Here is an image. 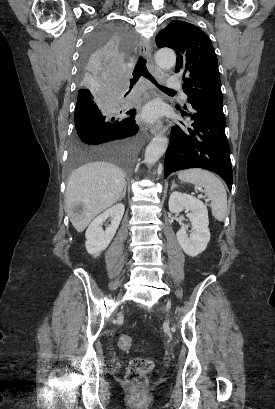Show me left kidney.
Instances as JSON below:
<instances>
[{"label":"left kidney","instance_id":"1","mask_svg":"<svg viewBox=\"0 0 275 409\" xmlns=\"http://www.w3.org/2000/svg\"><path fill=\"white\" fill-rule=\"evenodd\" d=\"M183 209L191 211L189 217H191L190 221L194 231L188 237L185 227H181L176 235L177 241L186 255L197 257L199 253L205 251L210 241L208 211L204 202L196 196L175 190L170 194L169 211L170 213H181Z\"/></svg>","mask_w":275,"mask_h":409}]
</instances>
